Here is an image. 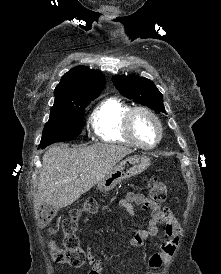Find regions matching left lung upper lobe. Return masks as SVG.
I'll use <instances>...</instances> for the list:
<instances>
[{
	"label": "left lung upper lobe",
	"mask_w": 221,
	"mask_h": 274,
	"mask_svg": "<svg viewBox=\"0 0 221 274\" xmlns=\"http://www.w3.org/2000/svg\"><path fill=\"white\" fill-rule=\"evenodd\" d=\"M112 82L119 92L128 99L146 105L156 113H166L163 96L151 80L135 75H119L113 76Z\"/></svg>",
	"instance_id": "left-lung-upper-lobe-1"
}]
</instances>
